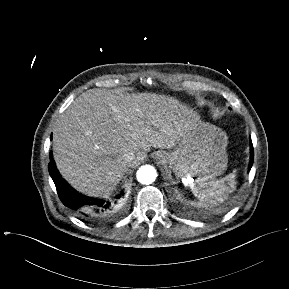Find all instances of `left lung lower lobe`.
<instances>
[{
  "mask_svg": "<svg viewBox=\"0 0 289 289\" xmlns=\"http://www.w3.org/2000/svg\"><path fill=\"white\" fill-rule=\"evenodd\" d=\"M251 158H250V163H249V170L251 169L252 167V164H253V159H254V151H253V146H252V142H251Z\"/></svg>",
  "mask_w": 289,
  "mask_h": 289,
  "instance_id": "0a47b994",
  "label": "left lung lower lobe"
}]
</instances>
